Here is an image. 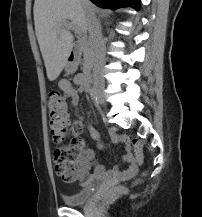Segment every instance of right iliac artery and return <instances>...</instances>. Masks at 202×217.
Masks as SVG:
<instances>
[{"label":"right iliac artery","instance_id":"right-iliac-artery-1","mask_svg":"<svg viewBox=\"0 0 202 217\" xmlns=\"http://www.w3.org/2000/svg\"><path fill=\"white\" fill-rule=\"evenodd\" d=\"M91 98H92L94 104L98 107L99 102L97 100L96 92L94 89L91 90Z\"/></svg>","mask_w":202,"mask_h":217}]
</instances>
